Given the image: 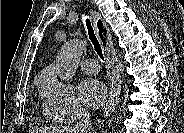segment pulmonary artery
I'll list each match as a JSON object with an SVG mask.
<instances>
[{
	"label": "pulmonary artery",
	"instance_id": "e3ab8cb5",
	"mask_svg": "<svg viewBox=\"0 0 184 133\" xmlns=\"http://www.w3.org/2000/svg\"><path fill=\"white\" fill-rule=\"evenodd\" d=\"M81 70L89 75H95L98 72V64L95 59L88 58L81 62L80 64Z\"/></svg>",
	"mask_w": 184,
	"mask_h": 133
}]
</instances>
